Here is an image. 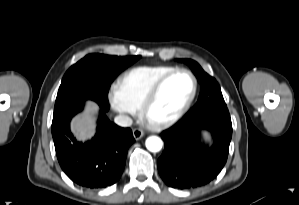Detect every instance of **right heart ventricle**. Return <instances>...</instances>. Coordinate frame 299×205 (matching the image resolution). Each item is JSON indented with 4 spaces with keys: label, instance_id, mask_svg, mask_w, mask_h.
I'll return each mask as SVG.
<instances>
[{
    "label": "right heart ventricle",
    "instance_id": "e07e8e85",
    "mask_svg": "<svg viewBox=\"0 0 299 205\" xmlns=\"http://www.w3.org/2000/svg\"><path fill=\"white\" fill-rule=\"evenodd\" d=\"M174 69L171 66L134 67L120 76L116 88L124 103L138 110L155 83Z\"/></svg>",
    "mask_w": 299,
    "mask_h": 205
}]
</instances>
